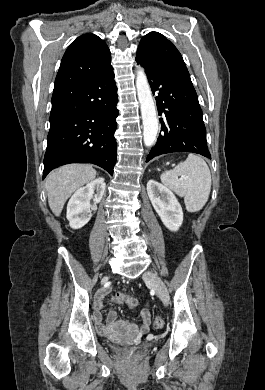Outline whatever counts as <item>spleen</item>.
I'll return each mask as SVG.
<instances>
[{
  "label": "spleen",
  "mask_w": 265,
  "mask_h": 390,
  "mask_svg": "<svg viewBox=\"0 0 265 390\" xmlns=\"http://www.w3.org/2000/svg\"><path fill=\"white\" fill-rule=\"evenodd\" d=\"M179 176L184 177V180L179 179ZM161 181L178 196L184 197L188 212H198L209 198L211 173L206 162L198 155L189 154L173 170L164 172Z\"/></svg>",
  "instance_id": "3e777b00"
}]
</instances>
